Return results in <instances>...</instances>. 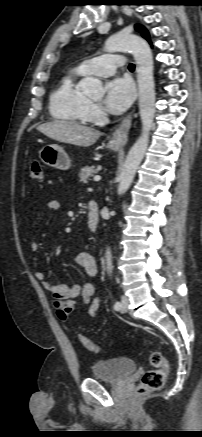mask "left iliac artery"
Instances as JSON below:
<instances>
[{"label":"left iliac artery","mask_w":202,"mask_h":437,"mask_svg":"<svg viewBox=\"0 0 202 437\" xmlns=\"http://www.w3.org/2000/svg\"><path fill=\"white\" fill-rule=\"evenodd\" d=\"M120 308H121V303L117 301V302L114 304V309H115V310H119Z\"/></svg>","instance_id":"obj_1"}]
</instances>
